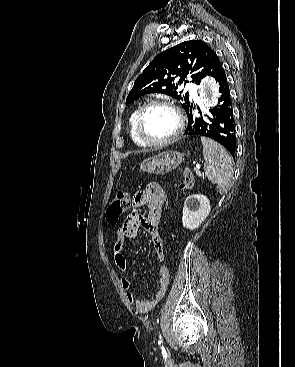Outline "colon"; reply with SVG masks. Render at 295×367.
<instances>
[{
	"instance_id": "5ec220e1",
	"label": "colon",
	"mask_w": 295,
	"mask_h": 367,
	"mask_svg": "<svg viewBox=\"0 0 295 367\" xmlns=\"http://www.w3.org/2000/svg\"><path fill=\"white\" fill-rule=\"evenodd\" d=\"M193 186V175L192 172L186 168L183 171V181L180 184V188L184 190H189ZM163 211L169 212L170 211V200L171 197L169 195H165L163 197ZM130 206V196L126 191H119L116 196L114 197L113 201L109 205L106 218L109 224L115 225L121 215L129 208Z\"/></svg>"
}]
</instances>
